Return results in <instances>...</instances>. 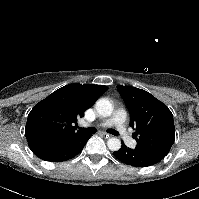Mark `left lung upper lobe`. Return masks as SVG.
<instances>
[{"mask_svg":"<svg viewBox=\"0 0 199 199\" xmlns=\"http://www.w3.org/2000/svg\"><path fill=\"white\" fill-rule=\"evenodd\" d=\"M129 109L130 126L135 129L136 148L165 157L175 140L173 115L169 108L145 90L117 86Z\"/></svg>","mask_w":199,"mask_h":199,"instance_id":"left-lung-upper-lobe-1","label":"left lung upper lobe"}]
</instances>
